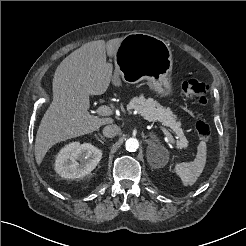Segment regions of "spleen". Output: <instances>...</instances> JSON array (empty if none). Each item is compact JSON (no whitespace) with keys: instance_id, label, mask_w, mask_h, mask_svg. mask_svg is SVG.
<instances>
[{"instance_id":"obj_1","label":"spleen","mask_w":246,"mask_h":246,"mask_svg":"<svg viewBox=\"0 0 246 246\" xmlns=\"http://www.w3.org/2000/svg\"><path fill=\"white\" fill-rule=\"evenodd\" d=\"M197 149L196 158L192 162L178 163L175 166L176 173L185 186H191L197 181L206 164V143L200 142Z\"/></svg>"}]
</instances>
